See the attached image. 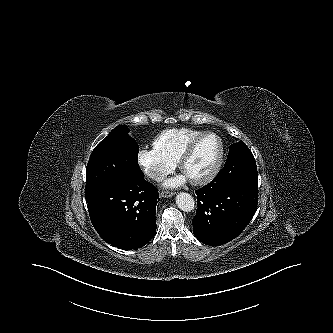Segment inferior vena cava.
Returning <instances> with one entry per match:
<instances>
[{"mask_svg": "<svg viewBox=\"0 0 333 333\" xmlns=\"http://www.w3.org/2000/svg\"><path fill=\"white\" fill-rule=\"evenodd\" d=\"M148 176L156 181H161L165 178V174L160 171H149Z\"/></svg>", "mask_w": 333, "mask_h": 333, "instance_id": "inferior-vena-cava-1", "label": "inferior vena cava"}]
</instances>
